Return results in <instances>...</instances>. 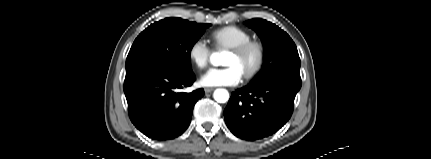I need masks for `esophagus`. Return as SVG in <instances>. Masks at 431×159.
<instances>
[{
  "mask_svg": "<svg viewBox=\"0 0 431 159\" xmlns=\"http://www.w3.org/2000/svg\"><path fill=\"white\" fill-rule=\"evenodd\" d=\"M213 90H214V88H212V87H206V88H204L205 93H210Z\"/></svg>",
  "mask_w": 431,
  "mask_h": 159,
  "instance_id": "34e87169",
  "label": "esophagus"
}]
</instances>
